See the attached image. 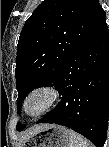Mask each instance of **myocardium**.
Here are the masks:
<instances>
[{
  "instance_id": "myocardium-1",
  "label": "myocardium",
  "mask_w": 109,
  "mask_h": 147,
  "mask_svg": "<svg viewBox=\"0 0 109 147\" xmlns=\"http://www.w3.org/2000/svg\"><path fill=\"white\" fill-rule=\"evenodd\" d=\"M36 95L44 96L45 97V103L37 113L32 114L28 110V101L33 96H36ZM59 98H60L59 90L57 88H55L54 86H51V85L39 86V87H36L33 90H31L26 95V97L24 99V103H23V108H24V111L28 115L33 116V117H38V116L45 114L51 108H53L55 106V104L58 102Z\"/></svg>"
}]
</instances>
